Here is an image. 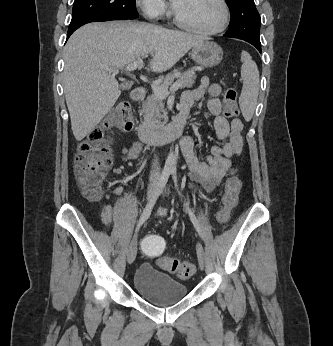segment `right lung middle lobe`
<instances>
[{
	"label": "right lung middle lobe",
	"mask_w": 333,
	"mask_h": 346,
	"mask_svg": "<svg viewBox=\"0 0 333 346\" xmlns=\"http://www.w3.org/2000/svg\"><path fill=\"white\" fill-rule=\"evenodd\" d=\"M135 0H75L68 31L98 21L136 19Z\"/></svg>",
	"instance_id": "right-lung-middle-lobe-1"
}]
</instances>
